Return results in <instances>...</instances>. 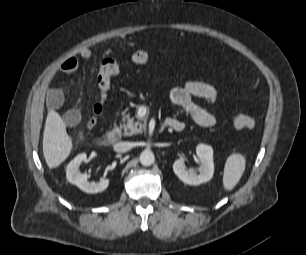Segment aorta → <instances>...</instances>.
<instances>
[{"mask_svg":"<svg viewBox=\"0 0 306 255\" xmlns=\"http://www.w3.org/2000/svg\"><path fill=\"white\" fill-rule=\"evenodd\" d=\"M140 163L143 166H150L154 163L155 157L150 150H144L139 156Z\"/></svg>","mask_w":306,"mask_h":255,"instance_id":"762f6f07","label":"aorta"}]
</instances>
